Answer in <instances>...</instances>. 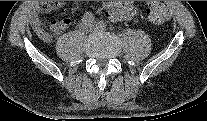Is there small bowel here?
Listing matches in <instances>:
<instances>
[{"instance_id":"c3829d8e","label":"small bowel","mask_w":207,"mask_h":121,"mask_svg":"<svg viewBox=\"0 0 207 121\" xmlns=\"http://www.w3.org/2000/svg\"><path fill=\"white\" fill-rule=\"evenodd\" d=\"M64 5L63 2H43L37 4L29 14L30 24L38 35V37L44 42H50L52 40V33L54 35L62 34L71 24L70 18L62 20H54L50 24L49 32L45 23L41 19L42 14H48L55 10L60 9ZM104 10L106 16L111 20H122L129 18L135 14V10L131 2L127 1H115L106 2L104 4Z\"/></svg>"}]
</instances>
